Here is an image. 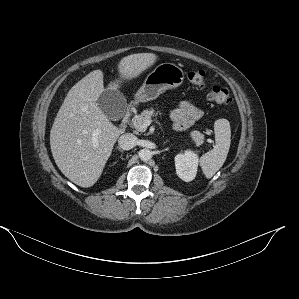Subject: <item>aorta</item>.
I'll use <instances>...</instances> for the list:
<instances>
[{
  "mask_svg": "<svg viewBox=\"0 0 299 299\" xmlns=\"http://www.w3.org/2000/svg\"><path fill=\"white\" fill-rule=\"evenodd\" d=\"M153 152L149 149H142L139 151V158L142 161H149L152 158Z\"/></svg>",
  "mask_w": 299,
  "mask_h": 299,
  "instance_id": "762f6f07",
  "label": "aorta"
}]
</instances>
